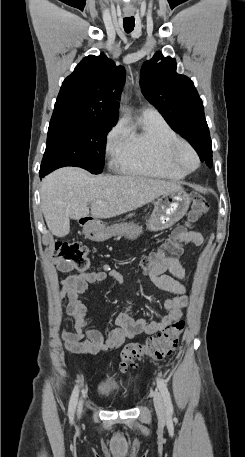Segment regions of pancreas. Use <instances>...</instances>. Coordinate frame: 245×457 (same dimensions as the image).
<instances>
[{
  "label": "pancreas",
  "mask_w": 245,
  "mask_h": 457,
  "mask_svg": "<svg viewBox=\"0 0 245 457\" xmlns=\"http://www.w3.org/2000/svg\"><path fill=\"white\" fill-rule=\"evenodd\" d=\"M134 212H130V214H127L128 218H130V216H133Z\"/></svg>",
  "instance_id": "obj_1"
}]
</instances>
